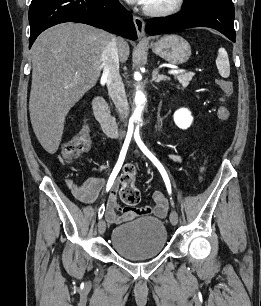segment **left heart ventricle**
Masks as SVG:
<instances>
[{
	"label": "left heart ventricle",
	"mask_w": 261,
	"mask_h": 306,
	"mask_svg": "<svg viewBox=\"0 0 261 306\" xmlns=\"http://www.w3.org/2000/svg\"><path fill=\"white\" fill-rule=\"evenodd\" d=\"M173 0H149L147 6L153 8H160L168 6Z\"/></svg>",
	"instance_id": "obj_1"
}]
</instances>
